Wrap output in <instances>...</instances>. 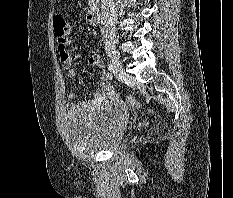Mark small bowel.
<instances>
[{"label": "small bowel", "instance_id": "small-bowel-1", "mask_svg": "<svg viewBox=\"0 0 233 198\" xmlns=\"http://www.w3.org/2000/svg\"><path fill=\"white\" fill-rule=\"evenodd\" d=\"M69 39L65 41H58V54L62 67L66 71L67 77L74 79L77 76L76 69L74 68V62L81 58L80 55L71 56L67 51ZM89 64L99 70H103L104 63L100 55H92L89 58ZM107 77V76H106ZM68 99L72 102V109L77 111L92 112L99 108V106L105 102H113L117 99L116 93L112 84L104 76L101 78L98 90L94 93L92 99L89 102H75L76 92L71 90L68 95Z\"/></svg>", "mask_w": 233, "mask_h": 198}]
</instances>
